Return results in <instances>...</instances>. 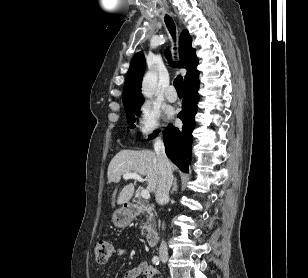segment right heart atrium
I'll use <instances>...</instances> for the list:
<instances>
[{
	"instance_id": "1",
	"label": "right heart atrium",
	"mask_w": 308,
	"mask_h": 278,
	"mask_svg": "<svg viewBox=\"0 0 308 278\" xmlns=\"http://www.w3.org/2000/svg\"><path fill=\"white\" fill-rule=\"evenodd\" d=\"M162 127V115L153 104L146 102L140 106L136 117V128L145 139L156 137Z\"/></svg>"
}]
</instances>
